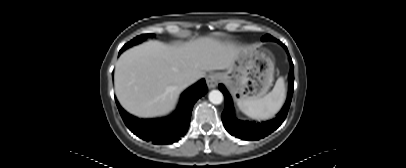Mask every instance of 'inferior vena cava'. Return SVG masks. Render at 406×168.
<instances>
[{
  "instance_id": "obj_1",
  "label": "inferior vena cava",
  "mask_w": 406,
  "mask_h": 168,
  "mask_svg": "<svg viewBox=\"0 0 406 168\" xmlns=\"http://www.w3.org/2000/svg\"><path fill=\"white\" fill-rule=\"evenodd\" d=\"M197 80H198V76H196V75H191V76L185 77L184 82H185L186 85H189V84L194 83V82L197 81Z\"/></svg>"
}]
</instances>
